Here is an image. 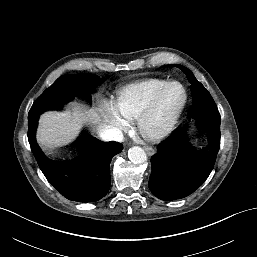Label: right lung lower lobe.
<instances>
[{
  "label": "right lung lower lobe",
  "mask_w": 257,
  "mask_h": 257,
  "mask_svg": "<svg viewBox=\"0 0 257 257\" xmlns=\"http://www.w3.org/2000/svg\"><path fill=\"white\" fill-rule=\"evenodd\" d=\"M37 125L38 121L28 122V139L47 180L72 201L95 202L104 197L110 188V162L123 147L116 142L105 143L91 137L74 159L53 160L43 153L36 141Z\"/></svg>",
  "instance_id": "obj_1"
}]
</instances>
